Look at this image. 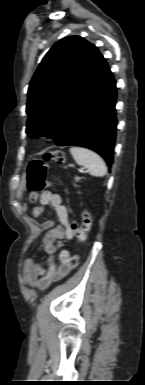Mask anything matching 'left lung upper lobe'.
Listing matches in <instances>:
<instances>
[{"mask_svg":"<svg viewBox=\"0 0 145 385\" xmlns=\"http://www.w3.org/2000/svg\"><path fill=\"white\" fill-rule=\"evenodd\" d=\"M98 55L93 44L78 36L63 38L52 46L28 89L29 136L54 137L81 94Z\"/></svg>","mask_w":145,"mask_h":385,"instance_id":"obj_1","label":"left lung upper lobe"}]
</instances>
